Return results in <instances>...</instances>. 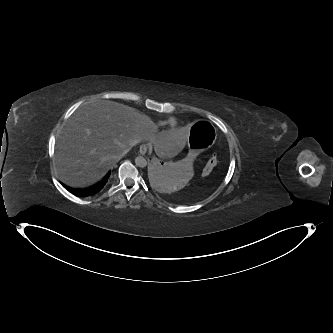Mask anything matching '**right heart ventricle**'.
<instances>
[{
    "label": "right heart ventricle",
    "mask_w": 333,
    "mask_h": 333,
    "mask_svg": "<svg viewBox=\"0 0 333 333\" xmlns=\"http://www.w3.org/2000/svg\"><path fill=\"white\" fill-rule=\"evenodd\" d=\"M169 122H171L174 126L177 125V121L175 119H169V120H160L156 123L158 127H164L166 126Z\"/></svg>",
    "instance_id": "e07e8e85"
}]
</instances>
